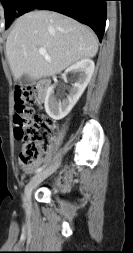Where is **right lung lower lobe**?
<instances>
[{
    "mask_svg": "<svg viewBox=\"0 0 133 253\" xmlns=\"http://www.w3.org/2000/svg\"><path fill=\"white\" fill-rule=\"evenodd\" d=\"M107 0H24L17 17L36 8L70 16L90 26L101 42L107 16Z\"/></svg>",
    "mask_w": 133,
    "mask_h": 253,
    "instance_id": "obj_1",
    "label": "right lung lower lobe"
}]
</instances>
